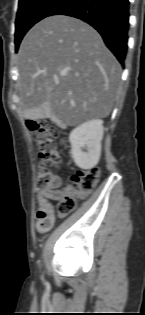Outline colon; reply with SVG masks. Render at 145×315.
<instances>
[{
	"label": "colon",
	"mask_w": 145,
	"mask_h": 315,
	"mask_svg": "<svg viewBox=\"0 0 145 315\" xmlns=\"http://www.w3.org/2000/svg\"><path fill=\"white\" fill-rule=\"evenodd\" d=\"M27 126L34 136L39 149L40 169L37 185L41 190H56L61 182L49 165L58 166L60 157L57 151V130L45 121L28 120ZM99 179V169L94 167L89 170L78 171L72 177V193L61 197L57 202L59 215H66L76 207V197L90 193Z\"/></svg>",
	"instance_id": "5ec220e1"
}]
</instances>
